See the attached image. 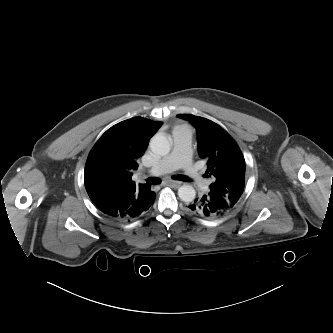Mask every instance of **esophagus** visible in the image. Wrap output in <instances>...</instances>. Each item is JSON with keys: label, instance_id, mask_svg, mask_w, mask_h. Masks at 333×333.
I'll return each mask as SVG.
<instances>
[{"label": "esophagus", "instance_id": "1", "mask_svg": "<svg viewBox=\"0 0 333 333\" xmlns=\"http://www.w3.org/2000/svg\"><path fill=\"white\" fill-rule=\"evenodd\" d=\"M163 184L172 188H178L181 185L180 182L172 180H167Z\"/></svg>", "mask_w": 333, "mask_h": 333}]
</instances>
